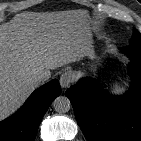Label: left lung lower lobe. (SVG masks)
Here are the masks:
<instances>
[{
    "label": "left lung lower lobe",
    "mask_w": 141,
    "mask_h": 141,
    "mask_svg": "<svg viewBox=\"0 0 141 141\" xmlns=\"http://www.w3.org/2000/svg\"><path fill=\"white\" fill-rule=\"evenodd\" d=\"M131 63V89L111 96L91 78L67 90L76 120L87 141H141V45L120 49Z\"/></svg>",
    "instance_id": "left-lung-lower-lobe-1"
}]
</instances>
